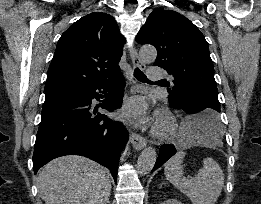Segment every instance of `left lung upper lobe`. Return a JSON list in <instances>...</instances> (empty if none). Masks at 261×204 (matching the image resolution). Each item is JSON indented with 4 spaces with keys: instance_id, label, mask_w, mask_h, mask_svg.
<instances>
[{
    "instance_id": "obj_1",
    "label": "left lung upper lobe",
    "mask_w": 261,
    "mask_h": 204,
    "mask_svg": "<svg viewBox=\"0 0 261 204\" xmlns=\"http://www.w3.org/2000/svg\"><path fill=\"white\" fill-rule=\"evenodd\" d=\"M136 41L155 46L154 65L173 75L172 85L167 86L172 106L198 100L218 116L220 104L208 44L189 19L172 10L155 9L141 27Z\"/></svg>"
}]
</instances>
